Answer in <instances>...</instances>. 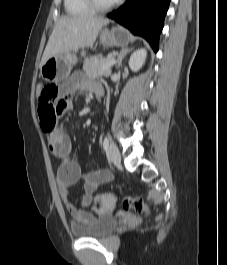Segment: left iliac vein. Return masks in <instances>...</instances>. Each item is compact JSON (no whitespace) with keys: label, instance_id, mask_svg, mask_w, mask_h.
<instances>
[{"label":"left iliac vein","instance_id":"left-iliac-vein-1","mask_svg":"<svg viewBox=\"0 0 227 265\" xmlns=\"http://www.w3.org/2000/svg\"><path fill=\"white\" fill-rule=\"evenodd\" d=\"M109 156H110V159L114 165H116V166L120 165L121 156H120L119 149L117 148L116 145H114V144L110 145Z\"/></svg>","mask_w":227,"mask_h":265}]
</instances>
